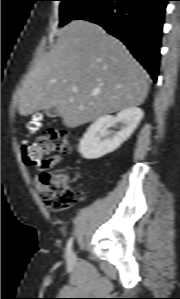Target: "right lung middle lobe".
<instances>
[{
  "label": "right lung middle lobe",
  "instance_id": "obj_1",
  "mask_svg": "<svg viewBox=\"0 0 180 299\" xmlns=\"http://www.w3.org/2000/svg\"><path fill=\"white\" fill-rule=\"evenodd\" d=\"M60 24L63 26L73 19H77L84 12L88 11L102 0H61Z\"/></svg>",
  "mask_w": 180,
  "mask_h": 299
}]
</instances>
